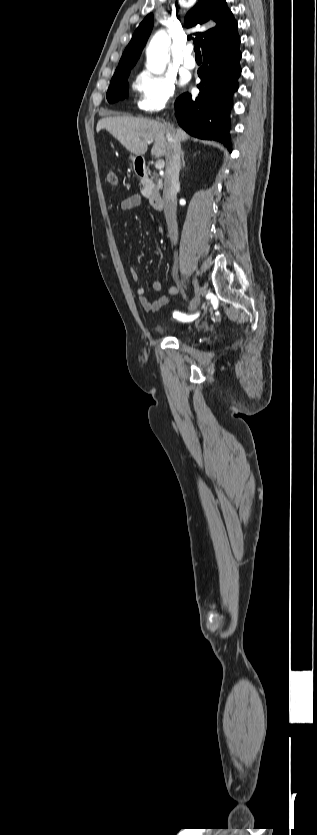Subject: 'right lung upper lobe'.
Masks as SVG:
<instances>
[{"label": "right lung upper lobe", "mask_w": 317, "mask_h": 835, "mask_svg": "<svg viewBox=\"0 0 317 835\" xmlns=\"http://www.w3.org/2000/svg\"><path fill=\"white\" fill-rule=\"evenodd\" d=\"M188 28H200L193 33L202 50L209 44L237 34V22L227 8L225 0H198L186 14ZM153 27V14H149L135 30L116 71L132 69L137 62ZM190 35L188 36V38Z\"/></svg>", "instance_id": "right-lung-upper-lobe-1"}]
</instances>
